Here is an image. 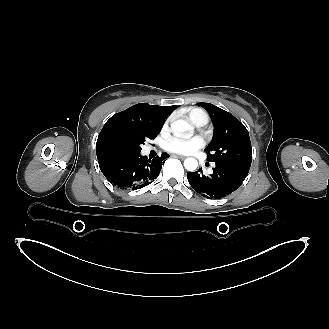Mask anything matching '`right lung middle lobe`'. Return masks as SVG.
I'll return each mask as SVG.
<instances>
[{"label":"right lung middle lobe","mask_w":329,"mask_h":329,"mask_svg":"<svg viewBox=\"0 0 329 329\" xmlns=\"http://www.w3.org/2000/svg\"><path fill=\"white\" fill-rule=\"evenodd\" d=\"M159 131L160 130H157L156 132H154L151 135L143 136V137H140V138L136 139L130 146L131 152L132 153L133 152H140L141 151V145L144 144L145 140L154 139L158 135Z\"/></svg>","instance_id":"obj_1"}]
</instances>
